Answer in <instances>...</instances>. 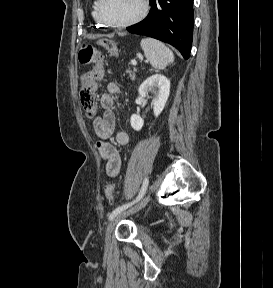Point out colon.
<instances>
[{
    "mask_svg": "<svg viewBox=\"0 0 273 288\" xmlns=\"http://www.w3.org/2000/svg\"><path fill=\"white\" fill-rule=\"evenodd\" d=\"M105 49L113 56L118 54V48L114 41L106 40ZM78 58L81 64H93L90 72L83 76L82 86L79 91L80 103L86 114L92 117L96 110V81L100 80L104 74V66L101 52L90 44L82 45ZM105 196L109 202H112L116 196V186L114 183H108L104 189Z\"/></svg>",
    "mask_w": 273,
    "mask_h": 288,
    "instance_id": "obj_1",
    "label": "colon"
}]
</instances>
